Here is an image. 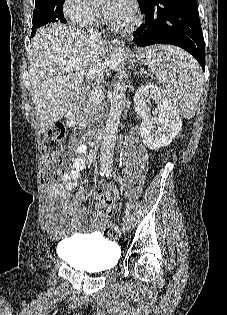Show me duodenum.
<instances>
[{"label":"duodenum","mask_w":227,"mask_h":315,"mask_svg":"<svg viewBox=\"0 0 227 315\" xmlns=\"http://www.w3.org/2000/svg\"><path fill=\"white\" fill-rule=\"evenodd\" d=\"M74 119H75V117H74L73 114H69V115H68V120H69L70 122H74ZM97 140H98V135H92V136L90 137V142H91L92 144H95V143L97 142Z\"/></svg>","instance_id":"1"}]
</instances>
